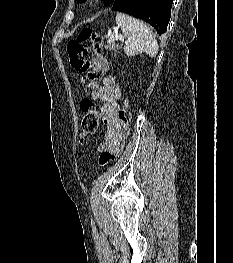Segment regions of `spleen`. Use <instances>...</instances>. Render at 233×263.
Here are the masks:
<instances>
[{
    "mask_svg": "<svg viewBox=\"0 0 233 263\" xmlns=\"http://www.w3.org/2000/svg\"><path fill=\"white\" fill-rule=\"evenodd\" d=\"M116 23L127 39L124 52L127 56L146 53L154 58L158 51V43L152 30L143 21L124 13H117Z\"/></svg>",
    "mask_w": 233,
    "mask_h": 263,
    "instance_id": "3e777b00",
    "label": "spleen"
}]
</instances>
